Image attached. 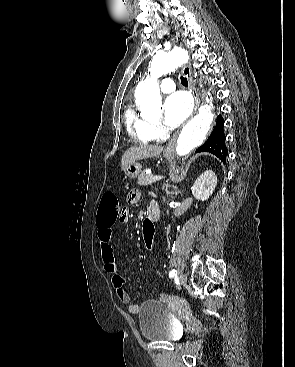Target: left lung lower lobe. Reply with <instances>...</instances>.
Here are the masks:
<instances>
[{"mask_svg":"<svg viewBox=\"0 0 295 367\" xmlns=\"http://www.w3.org/2000/svg\"><path fill=\"white\" fill-rule=\"evenodd\" d=\"M224 119L218 116L216 126L207 141L196 152H210L225 163L228 150L225 146L226 136L223 132Z\"/></svg>","mask_w":295,"mask_h":367,"instance_id":"0a47b994","label":"left lung lower lobe"}]
</instances>
